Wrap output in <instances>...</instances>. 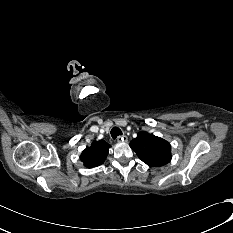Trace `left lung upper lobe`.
Here are the masks:
<instances>
[{"instance_id": "5c2ea615", "label": "left lung upper lobe", "mask_w": 233, "mask_h": 233, "mask_svg": "<svg viewBox=\"0 0 233 233\" xmlns=\"http://www.w3.org/2000/svg\"><path fill=\"white\" fill-rule=\"evenodd\" d=\"M130 147L141 161L151 167L166 165L172 158L169 142L144 131L130 142Z\"/></svg>"}]
</instances>
